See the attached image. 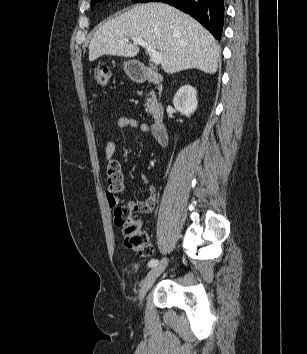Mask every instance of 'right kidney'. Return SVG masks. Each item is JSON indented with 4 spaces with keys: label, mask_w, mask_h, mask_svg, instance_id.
Returning <instances> with one entry per match:
<instances>
[{
    "label": "right kidney",
    "mask_w": 307,
    "mask_h": 354,
    "mask_svg": "<svg viewBox=\"0 0 307 354\" xmlns=\"http://www.w3.org/2000/svg\"><path fill=\"white\" fill-rule=\"evenodd\" d=\"M173 105L177 111L190 117L197 109V90L190 85H184L176 92Z\"/></svg>",
    "instance_id": "1"
}]
</instances>
